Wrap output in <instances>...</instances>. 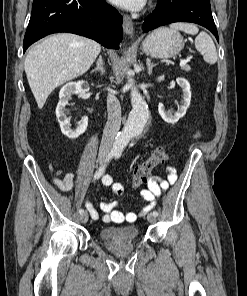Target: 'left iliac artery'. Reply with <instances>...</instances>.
<instances>
[{
  "label": "left iliac artery",
  "mask_w": 247,
  "mask_h": 296,
  "mask_svg": "<svg viewBox=\"0 0 247 296\" xmlns=\"http://www.w3.org/2000/svg\"><path fill=\"white\" fill-rule=\"evenodd\" d=\"M120 155H121V153H120V152H117V153L115 154V158H119ZM153 215L158 216V212H157V211H153Z\"/></svg>",
  "instance_id": "left-iliac-artery-1"
}]
</instances>
